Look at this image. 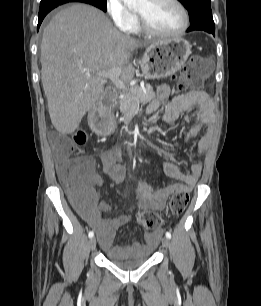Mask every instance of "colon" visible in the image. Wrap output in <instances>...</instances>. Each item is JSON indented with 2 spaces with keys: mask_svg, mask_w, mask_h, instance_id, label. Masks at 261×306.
Wrapping results in <instances>:
<instances>
[{
  "mask_svg": "<svg viewBox=\"0 0 261 306\" xmlns=\"http://www.w3.org/2000/svg\"><path fill=\"white\" fill-rule=\"evenodd\" d=\"M212 64L201 57H192L182 69L179 76L178 87L180 90L188 92L200 91L209 73ZM96 121L102 123L105 129L110 127V116L107 109H100ZM87 140V133L79 130L74 137H57L54 139V149L60 159L65 163L59 168L61 180L71 188L73 198L77 203L83 202L91 195L87 185L89 174L86 162L81 158H71L70 153L74 144H82ZM189 202V195L186 192H175L170 200V211L173 215H181ZM137 222L139 226L146 230H157L163 224V218L156 212L146 211L141 213Z\"/></svg>",
  "mask_w": 261,
  "mask_h": 306,
  "instance_id": "1",
  "label": "colon"
}]
</instances>
